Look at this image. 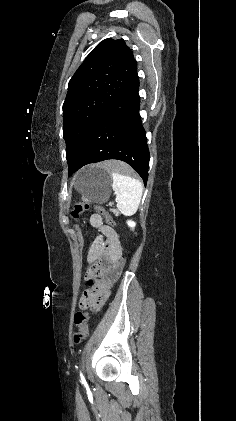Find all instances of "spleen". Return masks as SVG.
<instances>
[{"mask_svg": "<svg viewBox=\"0 0 236 421\" xmlns=\"http://www.w3.org/2000/svg\"><path fill=\"white\" fill-rule=\"evenodd\" d=\"M111 172L113 178L112 188L114 194H116V206L118 211H120L122 215H125V217L135 215L136 211H138L143 194L142 182H140L138 178L119 174L114 168H112Z\"/></svg>", "mask_w": 236, "mask_h": 421, "instance_id": "obj_1", "label": "spleen"}]
</instances>
